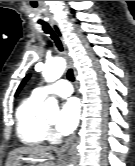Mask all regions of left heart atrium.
I'll list each match as a JSON object with an SVG mask.
<instances>
[{
  "instance_id": "obj_1",
  "label": "left heart atrium",
  "mask_w": 135,
  "mask_h": 166,
  "mask_svg": "<svg viewBox=\"0 0 135 166\" xmlns=\"http://www.w3.org/2000/svg\"><path fill=\"white\" fill-rule=\"evenodd\" d=\"M80 117V105L77 99L67 100L61 107L56 129L60 134L67 135L77 127Z\"/></svg>"
}]
</instances>
